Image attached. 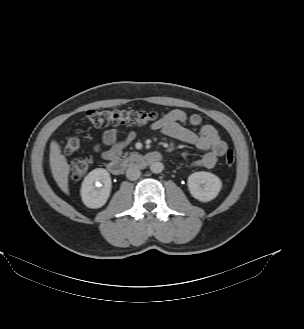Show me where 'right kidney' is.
Here are the masks:
<instances>
[{
    "instance_id": "obj_1",
    "label": "right kidney",
    "mask_w": 304,
    "mask_h": 329,
    "mask_svg": "<svg viewBox=\"0 0 304 329\" xmlns=\"http://www.w3.org/2000/svg\"><path fill=\"white\" fill-rule=\"evenodd\" d=\"M111 192V178L106 169L96 168L84 178L80 190L83 203L88 208H100Z\"/></svg>"
}]
</instances>
